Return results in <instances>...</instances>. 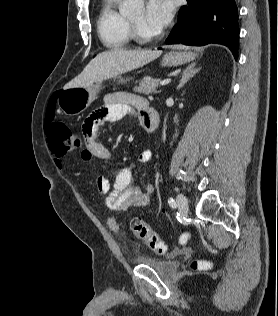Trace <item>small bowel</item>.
<instances>
[{
  "label": "small bowel",
  "instance_id": "c3829d8e",
  "mask_svg": "<svg viewBox=\"0 0 278 316\" xmlns=\"http://www.w3.org/2000/svg\"><path fill=\"white\" fill-rule=\"evenodd\" d=\"M147 108L148 104L143 98L130 93L118 92L106 95L103 106L94 111L82 124L85 148L81 152V158L84 161L111 159L112 152L97 140L100 126L105 122L119 121L126 115L132 114L135 109H138L142 116ZM151 158V150L145 149L139 154L138 162L146 164ZM131 179L130 167L123 168L112 185L102 175L97 176V188L106 196V205L111 211H125L130 207H144L150 203L154 191L153 186L147 184L141 190L132 184ZM107 226L114 233L120 231V225L115 216L108 218Z\"/></svg>",
  "mask_w": 278,
  "mask_h": 316
}]
</instances>
